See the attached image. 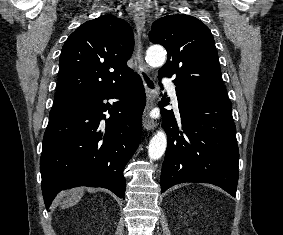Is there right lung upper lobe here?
I'll list each match as a JSON object with an SVG mask.
<instances>
[{
    "label": "right lung upper lobe",
    "mask_w": 283,
    "mask_h": 235,
    "mask_svg": "<svg viewBox=\"0 0 283 235\" xmlns=\"http://www.w3.org/2000/svg\"><path fill=\"white\" fill-rule=\"evenodd\" d=\"M133 48L130 26L114 15L82 24L62 48L55 104L75 103L137 75L126 64Z\"/></svg>",
    "instance_id": "cb5924a9"
}]
</instances>
